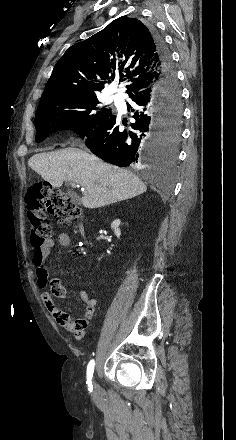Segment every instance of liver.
Wrapping results in <instances>:
<instances>
[{"label":"liver","instance_id":"6515ba94","mask_svg":"<svg viewBox=\"0 0 236 440\" xmlns=\"http://www.w3.org/2000/svg\"><path fill=\"white\" fill-rule=\"evenodd\" d=\"M28 165L53 187H61L64 181L81 185V201L89 209L131 199L147 190L132 172L74 147L35 154Z\"/></svg>","mask_w":236,"mask_h":440}]
</instances>
